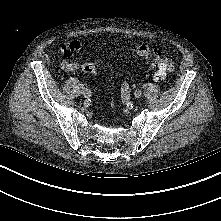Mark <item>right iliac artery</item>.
Instances as JSON below:
<instances>
[{"label":"right iliac artery","mask_w":221,"mask_h":221,"mask_svg":"<svg viewBox=\"0 0 221 221\" xmlns=\"http://www.w3.org/2000/svg\"><path fill=\"white\" fill-rule=\"evenodd\" d=\"M87 97L86 98H89L91 96V90L90 89H87V93H86Z\"/></svg>","instance_id":"1"}]
</instances>
